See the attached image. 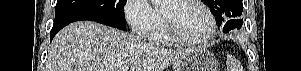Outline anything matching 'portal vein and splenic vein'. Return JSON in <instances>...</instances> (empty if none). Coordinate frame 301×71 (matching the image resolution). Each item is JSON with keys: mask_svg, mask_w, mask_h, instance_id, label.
<instances>
[{"mask_svg": "<svg viewBox=\"0 0 301 71\" xmlns=\"http://www.w3.org/2000/svg\"><path fill=\"white\" fill-rule=\"evenodd\" d=\"M118 71H128V66H122Z\"/></svg>", "mask_w": 301, "mask_h": 71, "instance_id": "18ae733b", "label": "portal vein and splenic vein"}]
</instances>
